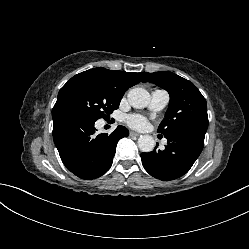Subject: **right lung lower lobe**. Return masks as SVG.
Returning a JSON list of instances; mask_svg holds the SVG:
<instances>
[{"mask_svg":"<svg viewBox=\"0 0 249 249\" xmlns=\"http://www.w3.org/2000/svg\"><path fill=\"white\" fill-rule=\"evenodd\" d=\"M53 139L64 165L82 179H95L111 167L118 141L129 135L119 125L110 135H94L95 121L67 108H53Z\"/></svg>","mask_w":249,"mask_h":249,"instance_id":"right-lung-lower-lobe-1","label":"right lung lower lobe"}]
</instances>
